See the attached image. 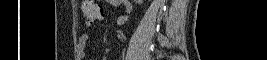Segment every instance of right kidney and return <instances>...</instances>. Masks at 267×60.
Instances as JSON below:
<instances>
[{
    "mask_svg": "<svg viewBox=\"0 0 267 60\" xmlns=\"http://www.w3.org/2000/svg\"><path fill=\"white\" fill-rule=\"evenodd\" d=\"M136 2L140 4V3H142L143 1H142V0H136Z\"/></svg>",
    "mask_w": 267,
    "mask_h": 60,
    "instance_id": "right-kidney-1",
    "label": "right kidney"
}]
</instances>
